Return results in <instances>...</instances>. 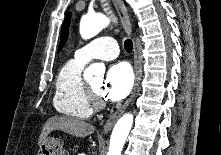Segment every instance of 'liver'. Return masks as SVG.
Segmentation results:
<instances>
[{"instance_id": "liver-1", "label": "liver", "mask_w": 221, "mask_h": 155, "mask_svg": "<svg viewBox=\"0 0 221 155\" xmlns=\"http://www.w3.org/2000/svg\"><path fill=\"white\" fill-rule=\"evenodd\" d=\"M53 130H61L76 137L84 138L95 132V127L82 120L65 117V116H53L49 118L42 128L39 136L38 144H41L46 140L47 136Z\"/></svg>"}]
</instances>
